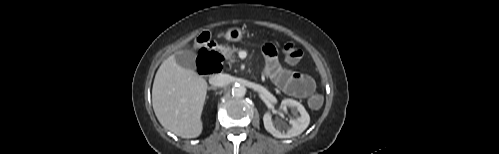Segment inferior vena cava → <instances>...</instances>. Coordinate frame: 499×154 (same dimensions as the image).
Wrapping results in <instances>:
<instances>
[{"mask_svg": "<svg viewBox=\"0 0 499 154\" xmlns=\"http://www.w3.org/2000/svg\"><path fill=\"white\" fill-rule=\"evenodd\" d=\"M209 83L216 87H223L230 83V76L228 74H215L209 79Z\"/></svg>", "mask_w": 499, "mask_h": 154, "instance_id": "1", "label": "inferior vena cava"}]
</instances>
